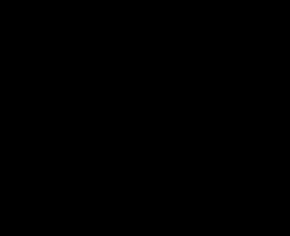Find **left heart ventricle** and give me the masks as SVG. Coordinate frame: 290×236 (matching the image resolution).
Returning a JSON list of instances; mask_svg holds the SVG:
<instances>
[{"instance_id": "1", "label": "left heart ventricle", "mask_w": 290, "mask_h": 236, "mask_svg": "<svg viewBox=\"0 0 290 236\" xmlns=\"http://www.w3.org/2000/svg\"><path fill=\"white\" fill-rule=\"evenodd\" d=\"M196 87V71L193 66L185 65L176 72L172 83L156 98L155 103L165 113H178L191 102Z\"/></svg>"}]
</instances>
